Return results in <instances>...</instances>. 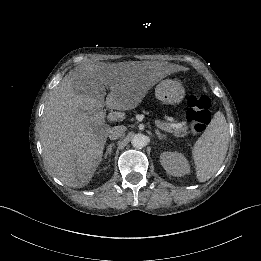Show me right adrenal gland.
I'll return each mask as SVG.
<instances>
[{
    "label": "right adrenal gland",
    "mask_w": 261,
    "mask_h": 261,
    "mask_svg": "<svg viewBox=\"0 0 261 261\" xmlns=\"http://www.w3.org/2000/svg\"><path fill=\"white\" fill-rule=\"evenodd\" d=\"M114 146V143H111L107 146V150L104 154V158L106 159L108 155H111L112 153V147ZM111 161V159H109V162Z\"/></svg>",
    "instance_id": "2a0ac1e0"
}]
</instances>
